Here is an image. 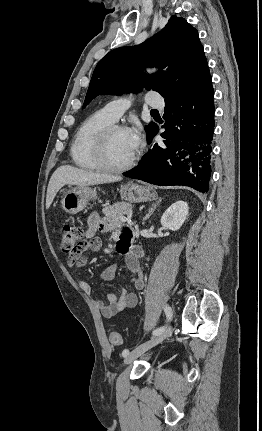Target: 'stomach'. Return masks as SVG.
Wrapping results in <instances>:
<instances>
[{
    "mask_svg": "<svg viewBox=\"0 0 262 431\" xmlns=\"http://www.w3.org/2000/svg\"><path fill=\"white\" fill-rule=\"evenodd\" d=\"M121 198L130 203L146 202L155 199V193L149 186L127 183L120 188ZM97 197L96 188L90 186H77L64 195L62 208L69 214L82 211L90 200Z\"/></svg>",
    "mask_w": 262,
    "mask_h": 431,
    "instance_id": "obj_1",
    "label": "stomach"
}]
</instances>
